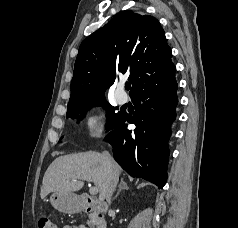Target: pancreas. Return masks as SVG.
<instances>
[{
    "instance_id": "obj_1",
    "label": "pancreas",
    "mask_w": 238,
    "mask_h": 228,
    "mask_svg": "<svg viewBox=\"0 0 238 228\" xmlns=\"http://www.w3.org/2000/svg\"><path fill=\"white\" fill-rule=\"evenodd\" d=\"M87 224H88L89 226L92 225V224H93V219L90 218L89 220H87Z\"/></svg>"
}]
</instances>
